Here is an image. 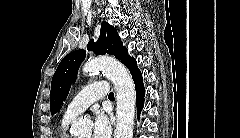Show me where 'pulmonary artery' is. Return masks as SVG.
Segmentation results:
<instances>
[{
	"mask_svg": "<svg viewBox=\"0 0 240 138\" xmlns=\"http://www.w3.org/2000/svg\"><path fill=\"white\" fill-rule=\"evenodd\" d=\"M109 93L108 84L105 81H94L81 90L68 104L65 115L74 117L100 98L107 96Z\"/></svg>",
	"mask_w": 240,
	"mask_h": 138,
	"instance_id": "1",
	"label": "pulmonary artery"
}]
</instances>
